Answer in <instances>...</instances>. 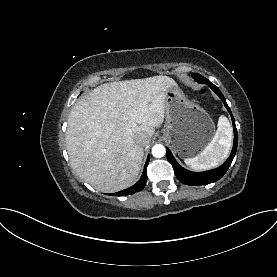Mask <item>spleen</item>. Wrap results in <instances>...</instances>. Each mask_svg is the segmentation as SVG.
I'll return each instance as SVG.
<instances>
[{
	"label": "spleen",
	"mask_w": 277,
	"mask_h": 277,
	"mask_svg": "<svg viewBox=\"0 0 277 277\" xmlns=\"http://www.w3.org/2000/svg\"><path fill=\"white\" fill-rule=\"evenodd\" d=\"M232 144V128L225 116H220L218 128L211 142L197 156L186 158L184 162L194 170H206L218 166L230 151Z\"/></svg>",
	"instance_id": "spleen-1"
}]
</instances>
